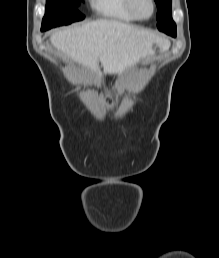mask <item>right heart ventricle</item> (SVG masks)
I'll return each instance as SVG.
<instances>
[{
    "label": "right heart ventricle",
    "instance_id": "1",
    "mask_svg": "<svg viewBox=\"0 0 219 258\" xmlns=\"http://www.w3.org/2000/svg\"><path fill=\"white\" fill-rule=\"evenodd\" d=\"M90 1L94 10L104 18L120 22H134L138 20L129 10L126 0Z\"/></svg>",
    "mask_w": 219,
    "mask_h": 258
}]
</instances>
